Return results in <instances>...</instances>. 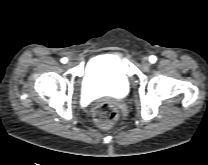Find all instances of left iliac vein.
Returning a JSON list of instances; mask_svg holds the SVG:
<instances>
[{"label": "left iliac vein", "instance_id": "1", "mask_svg": "<svg viewBox=\"0 0 208 165\" xmlns=\"http://www.w3.org/2000/svg\"><path fill=\"white\" fill-rule=\"evenodd\" d=\"M142 64L145 66V67H149L150 66V60L148 57H144L142 59Z\"/></svg>", "mask_w": 208, "mask_h": 165}]
</instances>
